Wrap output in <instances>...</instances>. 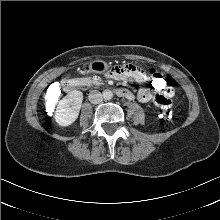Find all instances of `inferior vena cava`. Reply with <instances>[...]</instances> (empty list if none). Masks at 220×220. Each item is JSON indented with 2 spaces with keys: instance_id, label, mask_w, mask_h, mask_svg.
<instances>
[{
  "instance_id": "602c4592",
  "label": "inferior vena cava",
  "mask_w": 220,
  "mask_h": 220,
  "mask_svg": "<svg viewBox=\"0 0 220 220\" xmlns=\"http://www.w3.org/2000/svg\"><path fill=\"white\" fill-rule=\"evenodd\" d=\"M88 97L89 101L93 104H98L103 100L102 94L97 90L91 91Z\"/></svg>"
}]
</instances>
